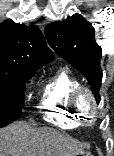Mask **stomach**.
<instances>
[{"label": "stomach", "instance_id": "obj_1", "mask_svg": "<svg viewBox=\"0 0 114 156\" xmlns=\"http://www.w3.org/2000/svg\"><path fill=\"white\" fill-rule=\"evenodd\" d=\"M75 156H92L91 153L88 150L83 149L81 152H79Z\"/></svg>", "mask_w": 114, "mask_h": 156}]
</instances>
